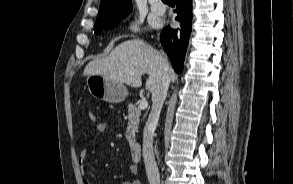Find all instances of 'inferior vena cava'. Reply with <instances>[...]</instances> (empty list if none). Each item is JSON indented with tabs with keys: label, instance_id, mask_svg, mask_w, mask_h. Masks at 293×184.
Wrapping results in <instances>:
<instances>
[{
	"label": "inferior vena cava",
	"instance_id": "obj_1",
	"mask_svg": "<svg viewBox=\"0 0 293 184\" xmlns=\"http://www.w3.org/2000/svg\"><path fill=\"white\" fill-rule=\"evenodd\" d=\"M162 66L164 69L162 83L158 90L152 94V109L143 133V157L149 184H160L159 171L153 152V135L170 83L165 58H162Z\"/></svg>",
	"mask_w": 293,
	"mask_h": 184
}]
</instances>
